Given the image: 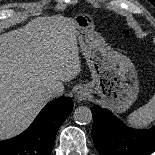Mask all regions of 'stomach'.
Wrapping results in <instances>:
<instances>
[{"label":"stomach","mask_w":155,"mask_h":155,"mask_svg":"<svg viewBox=\"0 0 155 155\" xmlns=\"http://www.w3.org/2000/svg\"><path fill=\"white\" fill-rule=\"evenodd\" d=\"M76 38L91 72L92 81L83 85L89 93L98 94L104 105L116 113L125 112L137 99L139 83L131 60L114 51L96 31L92 18L75 19Z\"/></svg>","instance_id":"1"}]
</instances>
